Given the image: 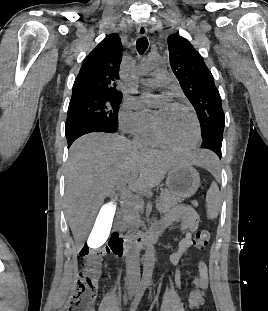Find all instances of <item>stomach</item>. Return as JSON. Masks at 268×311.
<instances>
[{
  "label": "stomach",
  "mask_w": 268,
  "mask_h": 311,
  "mask_svg": "<svg viewBox=\"0 0 268 311\" xmlns=\"http://www.w3.org/2000/svg\"><path fill=\"white\" fill-rule=\"evenodd\" d=\"M166 184L173 195L190 198L199 188L200 176L192 164L182 162L168 171Z\"/></svg>",
  "instance_id": "0dacf381"
}]
</instances>
